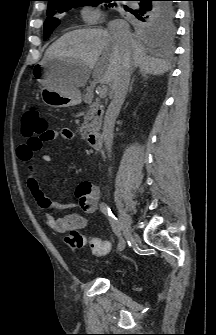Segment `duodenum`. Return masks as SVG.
<instances>
[{"label":"duodenum","instance_id":"1","mask_svg":"<svg viewBox=\"0 0 216 335\" xmlns=\"http://www.w3.org/2000/svg\"><path fill=\"white\" fill-rule=\"evenodd\" d=\"M88 144L95 150H99L102 147V137L97 130H92L87 135Z\"/></svg>","mask_w":216,"mask_h":335}]
</instances>
